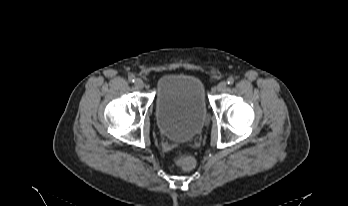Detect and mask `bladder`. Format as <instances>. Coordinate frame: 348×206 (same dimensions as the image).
Wrapping results in <instances>:
<instances>
[{
	"label": "bladder",
	"mask_w": 348,
	"mask_h": 206,
	"mask_svg": "<svg viewBox=\"0 0 348 206\" xmlns=\"http://www.w3.org/2000/svg\"><path fill=\"white\" fill-rule=\"evenodd\" d=\"M156 113L159 131L174 141H189L208 120L205 90L200 79L171 74L156 85Z\"/></svg>",
	"instance_id": "bladder-1"
}]
</instances>
